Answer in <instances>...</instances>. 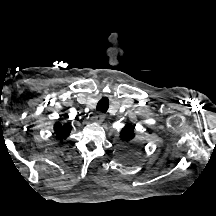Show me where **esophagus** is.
I'll return each mask as SVG.
<instances>
[{
    "label": "esophagus",
    "mask_w": 216,
    "mask_h": 216,
    "mask_svg": "<svg viewBox=\"0 0 216 216\" xmlns=\"http://www.w3.org/2000/svg\"><path fill=\"white\" fill-rule=\"evenodd\" d=\"M105 118V115L103 113H97L96 115L91 117V120L94 123H101Z\"/></svg>",
    "instance_id": "34e87169"
}]
</instances>
